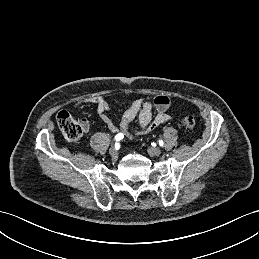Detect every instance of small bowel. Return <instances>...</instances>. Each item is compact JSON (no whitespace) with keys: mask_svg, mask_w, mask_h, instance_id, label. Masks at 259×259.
I'll use <instances>...</instances> for the list:
<instances>
[{"mask_svg":"<svg viewBox=\"0 0 259 259\" xmlns=\"http://www.w3.org/2000/svg\"><path fill=\"white\" fill-rule=\"evenodd\" d=\"M85 104H93L96 106L99 117L111 132H123L130 139L133 138V135L130 133V125L136 118L138 119L137 133L152 131L170 119V116L167 114V109L171 101L169 97L165 95L156 96L153 103L146 99L133 101L123 113L118 126L107 115L109 104L103 97L95 96L87 98L75 103L74 107ZM153 108L156 111L155 115H153ZM80 124L84 132L89 131L90 124L86 118H82Z\"/></svg>","mask_w":259,"mask_h":259,"instance_id":"1","label":"small bowel"}]
</instances>
